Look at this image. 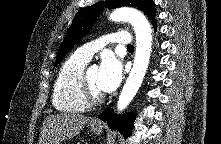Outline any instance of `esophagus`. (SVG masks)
Segmentation results:
<instances>
[{"label": "esophagus", "mask_w": 221, "mask_h": 144, "mask_svg": "<svg viewBox=\"0 0 221 144\" xmlns=\"http://www.w3.org/2000/svg\"><path fill=\"white\" fill-rule=\"evenodd\" d=\"M93 123L96 124V123H99V121L95 119V120H93Z\"/></svg>", "instance_id": "1"}]
</instances>
